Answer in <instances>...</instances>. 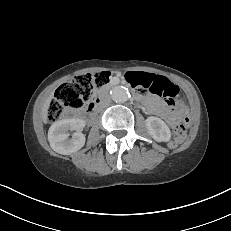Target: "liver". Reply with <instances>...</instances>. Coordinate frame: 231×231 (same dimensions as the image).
Instances as JSON below:
<instances>
[{"instance_id": "6515ba94", "label": "liver", "mask_w": 231, "mask_h": 231, "mask_svg": "<svg viewBox=\"0 0 231 231\" xmlns=\"http://www.w3.org/2000/svg\"><path fill=\"white\" fill-rule=\"evenodd\" d=\"M53 98V92L47 97L46 101L44 102V105L42 107V118L43 121L46 123L47 122V117H48V109L50 106V102Z\"/></svg>"}]
</instances>
